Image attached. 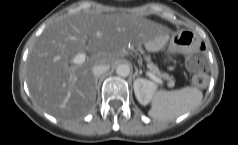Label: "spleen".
I'll return each mask as SVG.
<instances>
[{
  "instance_id": "obj_1",
  "label": "spleen",
  "mask_w": 238,
  "mask_h": 145,
  "mask_svg": "<svg viewBox=\"0 0 238 145\" xmlns=\"http://www.w3.org/2000/svg\"><path fill=\"white\" fill-rule=\"evenodd\" d=\"M202 99V91L195 87L175 91L159 90L153 94L148 114L160 121L173 120L198 107Z\"/></svg>"
}]
</instances>
